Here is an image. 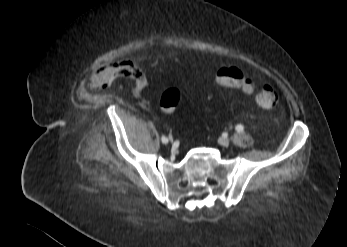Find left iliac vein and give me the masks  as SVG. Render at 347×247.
<instances>
[{
	"label": "left iliac vein",
	"instance_id": "1",
	"mask_svg": "<svg viewBox=\"0 0 347 247\" xmlns=\"http://www.w3.org/2000/svg\"><path fill=\"white\" fill-rule=\"evenodd\" d=\"M219 144L227 147L230 144V140L228 138L222 137L219 139Z\"/></svg>",
	"mask_w": 347,
	"mask_h": 247
}]
</instances>
